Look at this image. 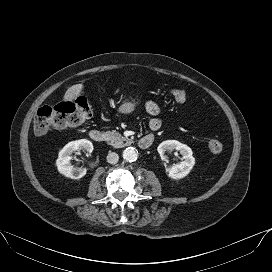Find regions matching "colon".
<instances>
[{"label": "colon", "instance_id": "1", "mask_svg": "<svg viewBox=\"0 0 272 272\" xmlns=\"http://www.w3.org/2000/svg\"><path fill=\"white\" fill-rule=\"evenodd\" d=\"M171 95L178 103H183L188 98L187 92L183 89H173ZM91 115L92 107L84 98L62 101L54 106H42L34 119V132L37 135H44L51 128L78 126L88 120ZM208 148L213 153H220L223 150V143L218 138H211L208 141Z\"/></svg>", "mask_w": 272, "mask_h": 272}]
</instances>
